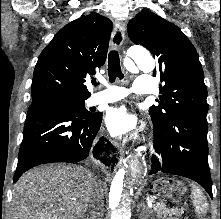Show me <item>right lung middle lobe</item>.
<instances>
[{
    "label": "right lung middle lobe",
    "instance_id": "dd1d6c3e",
    "mask_svg": "<svg viewBox=\"0 0 221 219\" xmlns=\"http://www.w3.org/2000/svg\"><path fill=\"white\" fill-rule=\"evenodd\" d=\"M86 99H74V98H53V99H45L41 101L34 102V105H52V106H63L74 113L79 115L82 118H87L92 115V113L88 112L84 107V101Z\"/></svg>",
    "mask_w": 221,
    "mask_h": 219
}]
</instances>
